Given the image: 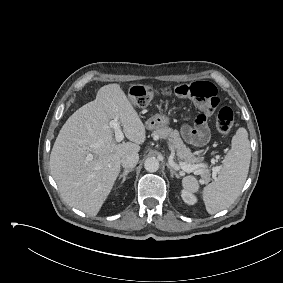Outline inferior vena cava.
<instances>
[{
  "label": "inferior vena cava",
  "instance_id": "1",
  "mask_svg": "<svg viewBox=\"0 0 283 283\" xmlns=\"http://www.w3.org/2000/svg\"><path fill=\"white\" fill-rule=\"evenodd\" d=\"M138 160H139L138 153H130V154L125 155L121 159V164L125 169L133 168L138 163Z\"/></svg>",
  "mask_w": 283,
  "mask_h": 283
}]
</instances>
